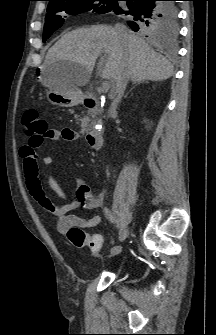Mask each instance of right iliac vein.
Returning <instances> with one entry per match:
<instances>
[{
    "instance_id": "obj_1",
    "label": "right iliac vein",
    "mask_w": 216,
    "mask_h": 335,
    "mask_svg": "<svg viewBox=\"0 0 216 335\" xmlns=\"http://www.w3.org/2000/svg\"><path fill=\"white\" fill-rule=\"evenodd\" d=\"M129 234V228L127 226L123 227L119 233V242L122 243L126 240Z\"/></svg>"
}]
</instances>
